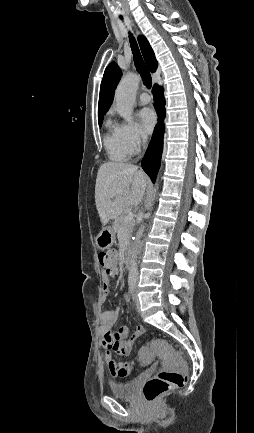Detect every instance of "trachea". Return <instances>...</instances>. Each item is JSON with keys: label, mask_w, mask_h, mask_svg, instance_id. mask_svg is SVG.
<instances>
[{"label": "trachea", "mask_w": 254, "mask_h": 433, "mask_svg": "<svg viewBox=\"0 0 254 433\" xmlns=\"http://www.w3.org/2000/svg\"><path fill=\"white\" fill-rule=\"evenodd\" d=\"M129 38H130V45H131V49H132V53H133L135 67H136L138 73L140 74L144 85L147 88H151L152 78H151L150 72L148 71V69H147V67L143 61V58H142L141 53L138 49V45L136 43V40L131 33L129 34Z\"/></svg>", "instance_id": "obj_1"}]
</instances>
